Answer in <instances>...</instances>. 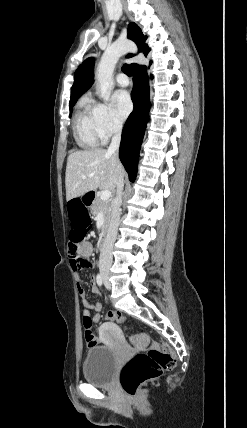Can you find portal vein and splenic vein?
Masks as SVG:
<instances>
[{"instance_id":"obj_1","label":"portal vein and splenic vein","mask_w":247,"mask_h":428,"mask_svg":"<svg viewBox=\"0 0 247 428\" xmlns=\"http://www.w3.org/2000/svg\"><path fill=\"white\" fill-rule=\"evenodd\" d=\"M83 179H86V177L83 176ZM100 197L102 200L107 201L111 197V191L103 190L100 194Z\"/></svg>"}]
</instances>
